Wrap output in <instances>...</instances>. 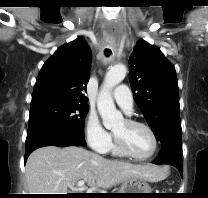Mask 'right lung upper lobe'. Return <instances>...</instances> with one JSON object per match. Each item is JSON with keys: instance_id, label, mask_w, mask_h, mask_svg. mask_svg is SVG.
Listing matches in <instances>:
<instances>
[{"instance_id": "1", "label": "right lung upper lobe", "mask_w": 208, "mask_h": 198, "mask_svg": "<svg viewBox=\"0 0 208 198\" xmlns=\"http://www.w3.org/2000/svg\"><path fill=\"white\" fill-rule=\"evenodd\" d=\"M90 69L91 52L82 37L61 46L44 63L30 107L57 101L86 103Z\"/></svg>"}]
</instances>
